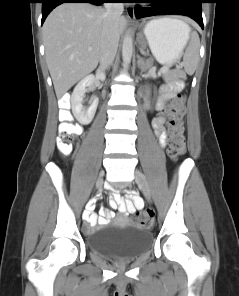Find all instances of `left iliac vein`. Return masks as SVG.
Listing matches in <instances>:
<instances>
[{
    "mask_svg": "<svg viewBox=\"0 0 239 296\" xmlns=\"http://www.w3.org/2000/svg\"><path fill=\"white\" fill-rule=\"evenodd\" d=\"M134 177H135L136 183L138 184V186L142 190L145 198L147 199V201L150 202L151 201V194H150V190H149V186H148V182L146 180V177L139 170L135 171Z\"/></svg>",
    "mask_w": 239,
    "mask_h": 296,
    "instance_id": "4c4485c4",
    "label": "left iliac vein"
}]
</instances>
